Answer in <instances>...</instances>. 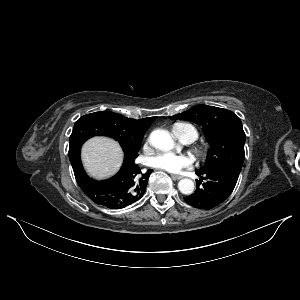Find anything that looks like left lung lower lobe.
<instances>
[{
    "label": "left lung lower lobe",
    "mask_w": 300,
    "mask_h": 300,
    "mask_svg": "<svg viewBox=\"0 0 300 300\" xmlns=\"http://www.w3.org/2000/svg\"><path fill=\"white\" fill-rule=\"evenodd\" d=\"M239 170L231 167H220L212 169L205 173L196 171V174L202 179H207L202 187L197 183L196 191L184 200L199 209H212L224 202L232 193L238 177Z\"/></svg>",
    "instance_id": "obj_1"
}]
</instances>
